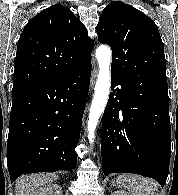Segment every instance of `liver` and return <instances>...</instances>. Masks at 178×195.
I'll return each mask as SVG.
<instances>
[{"label":"liver","instance_id":"6515ba94","mask_svg":"<svg viewBox=\"0 0 178 195\" xmlns=\"http://www.w3.org/2000/svg\"><path fill=\"white\" fill-rule=\"evenodd\" d=\"M55 174H33L21 176L15 182V195H30L37 188L55 181Z\"/></svg>","mask_w":178,"mask_h":195}]
</instances>
